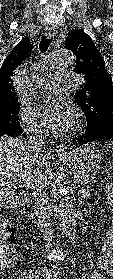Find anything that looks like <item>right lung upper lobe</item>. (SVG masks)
Instances as JSON below:
<instances>
[{
    "label": "right lung upper lobe",
    "mask_w": 113,
    "mask_h": 279,
    "mask_svg": "<svg viewBox=\"0 0 113 279\" xmlns=\"http://www.w3.org/2000/svg\"><path fill=\"white\" fill-rule=\"evenodd\" d=\"M32 45L29 38H23L4 60L0 69V109L18 102L12 82L14 70L28 57Z\"/></svg>",
    "instance_id": "cb5924a9"
}]
</instances>
